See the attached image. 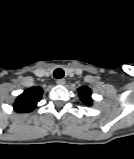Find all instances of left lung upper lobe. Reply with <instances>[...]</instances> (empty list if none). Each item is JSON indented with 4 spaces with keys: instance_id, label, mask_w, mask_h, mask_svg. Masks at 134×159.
Listing matches in <instances>:
<instances>
[{
    "instance_id": "left-lung-upper-lobe-1",
    "label": "left lung upper lobe",
    "mask_w": 134,
    "mask_h": 159,
    "mask_svg": "<svg viewBox=\"0 0 134 159\" xmlns=\"http://www.w3.org/2000/svg\"><path fill=\"white\" fill-rule=\"evenodd\" d=\"M78 93H79L80 99L82 100V102L85 105H87V106L92 105L91 89L83 86V87L78 89Z\"/></svg>"
}]
</instances>
